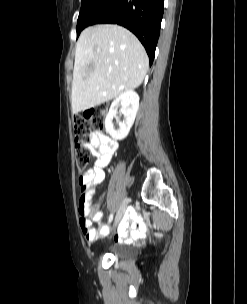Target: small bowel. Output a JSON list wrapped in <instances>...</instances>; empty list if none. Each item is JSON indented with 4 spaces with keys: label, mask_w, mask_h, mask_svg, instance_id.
Listing matches in <instances>:
<instances>
[{
    "label": "small bowel",
    "mask_w": 247,
    "mask_h": 304,
    "mask_svg": "<svg viewBox=\"0 0 247 304\" xmlns=\"http://www.w3.org/2000/svg\"><path fill=\"white\" fill-rule=\"evenodd\" d=\"M90 153L96 158L93 167L84 172L79 178L80 186L86 189V201L89 202L94 189L100 185L104 178V168L108 166L116 151L117 142L103 132H94L89 135L86 143ZM102 212H93L80 221L81 230L85 239L94 242L108 234L109 229L102 223ZM91 220L97 222L98 228H93ZM145 225L140 221L134 211L129 213L128 220L124 222L115 239L118 242H135L143 238Z\"/></svg>",
    "instance_id": "1"
}]
</instances>
